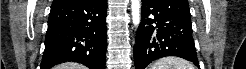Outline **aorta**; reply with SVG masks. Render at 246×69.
I'll use <instances>...</instances> for the list:
<instances>
[{"label":"aorta","instance_id":"762f6f07","mask_svg":"<svg viewBox=\"0 0 246 69\" xmlns=\"http://www.w3.org/2000/svg\"><path fill=\"white\" fill-rule=\"evenodd\" d=\"M140 10H141V1L131 0L132 20L136 28L140 24Z\"/></svg>","mask_w":246,"mask_h":69}]
</instances>
